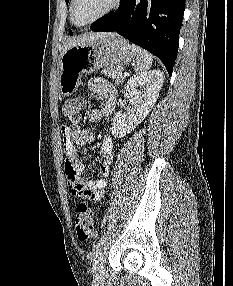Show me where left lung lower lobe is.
<instances>
[{
    "label": "left lung lower lobe",
    "instance_id": "0a47b994",
    "mask_svg": "<svg viewBox=\"0 0 233 286\" xmlns=\"http://www.w3.org/2000/svg\"><path fill=\"white\" fill-rule=\"evenodd\" d=\"M185 0H121L119 8L97 21L93 31H116L157 56L172 74Z\"/></svg>",
    "mask_w": 233,
    "mask_h": 286
}]
</instances>
